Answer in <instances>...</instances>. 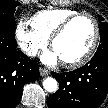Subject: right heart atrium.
Here are the masks:
<instances>
[{
    "label": "right heart atrium",
    "mask_w": 108,
    "mask_h": 108,
    "mask_svg": "<svg viewBox=\"0 0 108 108\" xmlns=\"http://www.w3.org/2000/svg\"><path fill=\"white\" fill-rule=\"evenodd\" d=\"M15 34L19 47L29 57L36 56L48 44V40L34 29H30L25 21L17 24Z\"/></svg>",
    "instance_id": "d8ad5b80"
}]
</instances>
